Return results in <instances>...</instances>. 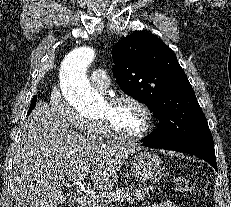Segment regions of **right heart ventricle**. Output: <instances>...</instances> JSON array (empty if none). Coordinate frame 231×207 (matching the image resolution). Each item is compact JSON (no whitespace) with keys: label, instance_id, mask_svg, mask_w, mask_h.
Here are the masks:
<instances>
[{"label":"right heart ventricle","instance_id":"right-heart-ventricle-1","mask_svg":"<svg viewBox=\"0 0 231 207\" xmlns=\"http://www.w3.org/2000/svg\"><path fill=\"white\" fill-rule=\"evenodd\" d=\"M87 135L92 138H97L103 135L102 129L98 121L92 120L88 123Z\"/></svg>","mask_w":231,"mask_h":207}]
</instances>
